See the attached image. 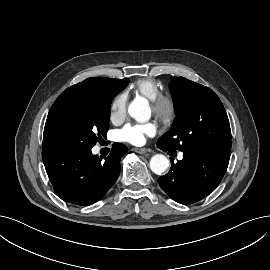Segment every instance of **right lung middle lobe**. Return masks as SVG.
Here are the masks:
<instances>
[{
  "label": "right lung middle lobe",
  "mask_w": 270,
  "mask_h": 270,
  "mask_svg": "<svg viewBox=\"0 0 270 270\" xmlns=\"http://www.w3.org/2000/svg\"><path fill=\"white\" fill-rule=\"evenodd\" d=\"M128 83L129 79H123L111 93L105 95L82 94L57 98L47 116L43 148L91 149L106 136L111 100Z\"/></svg>",
  "instance_id": "right-lung-middle-lobe-1"
}]
</instances>
